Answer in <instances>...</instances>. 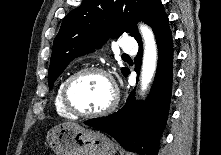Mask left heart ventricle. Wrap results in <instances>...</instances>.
Segmentation results:
<instances>
[{"label":"left heart ventricle","instance_id":"left-heart-ventricle-1","mask_svg":"<svg viewBox=\"0 0 221 155\" xmlns=\"http://www.w3.org/2000/svg\"><path fill=\"white\" fill-rule=\"evenodd\" d=\"M112 98L108 80L100 74H86L78 78L70 88L72 105L82 112H97L105 108Z\"/></svg>","mask_w":221,"mask_h":155}]
</instances>
